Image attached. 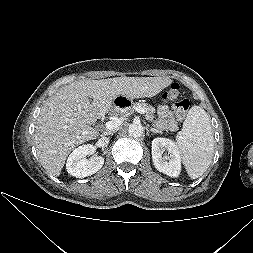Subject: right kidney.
<instances>
[{
    "label": "right kidney",
    "instance_id": "1",
    "mask_svg": "<svg viewBox=\"0 0 253 253\" xmlns=\"http://www.w3.org/2000/svg\"><path fill=\"white\" fill-rule=\"evenodd\" d=\"M94 151L92 144H84L73 150L67 159V172L77 178H84L99 171L104 164L103 157L95 156L89 160L86 159V156L93 154Z\"/></svg>",
    "mask_w": 253,
    "mask_h": 253
}]
</instances>
